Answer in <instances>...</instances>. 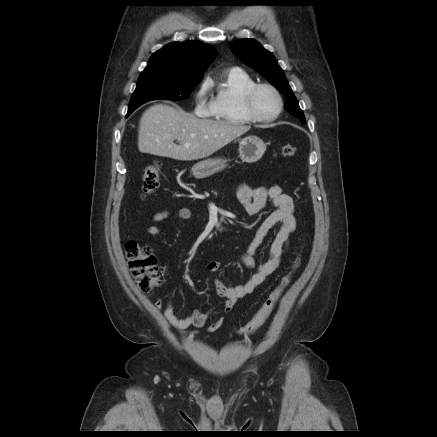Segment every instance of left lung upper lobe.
<instances>
[{
	"mask_svg": "<svg viewBox=\"0 0 437 437\" xmlns=\"http://www.w3.org/2000/svg\"><path fill=\"white\" fill-rule=\"evenodd\" d=\"M232 52L247 65L255 69L279 91L286 95L285 109L305 123V117L289 86L283 70L271 52L253 39H240L230 44Z\"/></svg>",
	"mask_w": 437,
	"mask_h": 437,
	"instance_id": "left-lung-upper-lobe-1",
	"label": "left lung upper lobe"
}]
</instances>
